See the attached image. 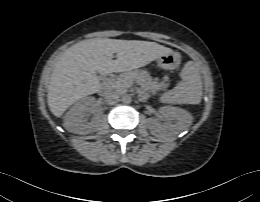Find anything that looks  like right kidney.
Instances as JSON below:
<instances>
[{"instance_id":"1","label":"right kidney","mask_w":260,"mask_h":202,"mask_svg":"<svg viewBox=\"0 0 260 202\" xmlns=\"http://www.w3.org/2000/svg\"><path fill=\"white\" fill-rule=\"evenodd\" d=\"M89 113L93 116L90 121ZM102 111L95 106L94 97L79 100L64 116V127L67 131L85 135L95 132L101 122Z\"/></svg>"}]
</instances>
